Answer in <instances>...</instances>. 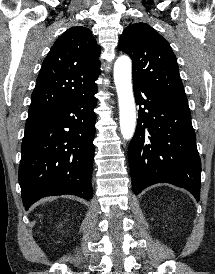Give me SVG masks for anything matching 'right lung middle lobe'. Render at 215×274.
Listing matches in <instances>:
<instances>
[{
	"mask_svg": "<svg viewBox=\"0 0 215 274\" xmlns=\"http://www.w3.org/2000/svg\"><path fill=\"white\" fill-rule=\"evenodd\" d=\"M44 113H28V118L26 121V125L35 122L37 119L41 118Z\"/></svg>",
	"mask_w": 215,
	"mask_h": 274,
	"instance_id": "1",
	"label": "right lung middle lobe"
}]
</instances>
